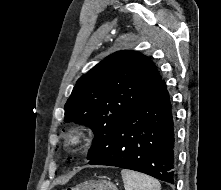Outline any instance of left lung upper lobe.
Wrapping results in <instances>:
<instances>
[{"label": "left lung upper lobe", "instance_id": "left-lung-upper-lobe-1", "mask_svg": "<svg viewBox=\"0 0 221 190\" xmlns=\"http://www.w3.org/2000/svg\"><path fill=\"white\" fill-rule=\"evenodd\" d=\"M160 80L153 62L136 51L113 53L78 79L65 104L64 121L84 124L94 131L89 160L107 147L116 125Z\"/></svg>", "mask_w": 221, "mask_h": 190}]
</instances>
